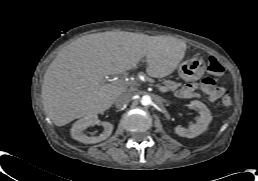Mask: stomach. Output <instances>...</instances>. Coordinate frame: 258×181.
Masks as SVG:
<instances>
[{"label":"stomach","mask_w":258,"mask_h":181,"mask_svg":"<svg viewBox=\"0 0 258 181\" xmlns=\"http://www.w3.org/2000/svg\"><path fill=\"white\" fill-rule=\"evenodd\" d=\"M205 70V62L199 58H191L178 66L179 76L187 81L200 77Z\"/></svg>","instance_id":"stomach-1"}]
</instances>
